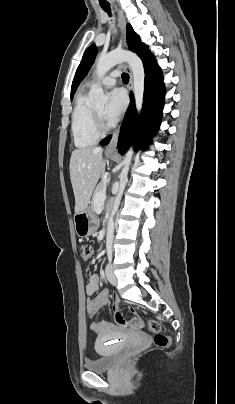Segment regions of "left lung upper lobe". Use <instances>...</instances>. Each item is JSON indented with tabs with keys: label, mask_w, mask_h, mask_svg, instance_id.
<instances>
[{
	"label": "left lung upper lobe",
	"mask_w": 235,
	"mask_h": 404,
	"mask_svg": "<svg viewBox=\"0 0 235 404\" xmlns=\"http://www.w3.org/2000/svg\"><path fill=\"white\" fill-rule=\"evenodd\" d=\"M127 42H128L129 49L131 51L137 53L141 59L144 58L145 56H147L148 54H150L147 46L140 42V37L134 32V30L130 26V24L127 25ZM96 54H97V48L95 45L90 46L84 53L82 61L79 65V67L77 68L74 80L72 82L71 99L73 98V95H74L79 83L82 81V79L88 73V71L96 57Z\"/></svg>",
	"instance_id": "left-lung-upper-lobe-1"
}]
</instances>
